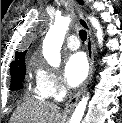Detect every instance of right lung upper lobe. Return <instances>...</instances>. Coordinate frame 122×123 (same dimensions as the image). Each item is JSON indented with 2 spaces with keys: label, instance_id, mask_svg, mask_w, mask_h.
I'll use <instances>...</instances> for the list:
<instances>
[{
  "label": "right lung upper lobe",
  "instance_id": "right-lung-upper-lobe-1",
  "mask_svg": "<svg viewBox=\"0 0 122 123\" xmlns=\"http://www.w3.org/2000/svg\"><path fill=\"white\" fill-rule=\"evenodd\" d=\"M25 54H26V51H24V52H17L16 51V53H15V61H13L11 63L10 70L12 68H15V67L19 66L21 63L24 62Z\"/></svg>",
  "mask_w": 122,
  "mask_h": 123
}]
</instances>
